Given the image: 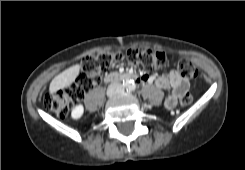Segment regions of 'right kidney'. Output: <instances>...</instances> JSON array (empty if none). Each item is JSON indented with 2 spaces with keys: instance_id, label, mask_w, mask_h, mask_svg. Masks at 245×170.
<instances>
[{
  "instance_id": "1",
  "label": "right kidney",
  "mask_w": 245,
  "mask_h": 170,
  "mask_svg": "<svg viewBox=\"0 0 245 170\" xmlns=\"http://www.w3.org/2000/svg\"><path fill=\"white\" fill-rule=\"evenodd\" d=\"M83 113H84V107L83 105L79 104L73 108L71 112V117L73 119H79L82 117Z\"/></svg>"
}]
</instances>
